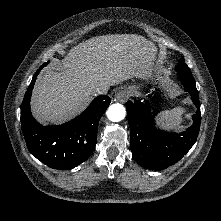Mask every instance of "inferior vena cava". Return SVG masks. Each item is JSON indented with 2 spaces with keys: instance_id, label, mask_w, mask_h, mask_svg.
Wrapping results in <instances>:
<instances>
[{
  "instance_id": "602c4592",
  "label": "inferior vena cava",
  "mask_w": 221,
  "mask_h": 221,
  "mask_svg": "<svg viewBox=\"0 0 221 221\" xmlns=\"http://www.w3.org/2000/svg\"><path fill=\"white\" fill-rule=\"evenodd\" d=\"M96 93H97V94H104L105 91L102 90V89H100V88H98V89L96 90Z\"/></svg>"
}]
</instances>
